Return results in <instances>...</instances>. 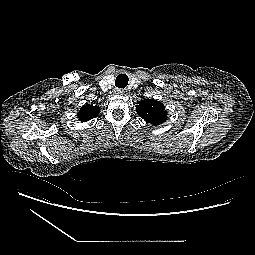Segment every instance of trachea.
I'll return each instance as SVG.
<instances>
[{"label":"trachea","instance_id":"1","mask_svg":"<svg viewBox=\"0 0 255 255\" xmlns=\"http://www.w3.org/2000/svg\"><path fill=\"white\" fill-rule=\"evenodd\" d=\"M128 84V76L126 74H120L117 76L115 86L118 88H125Z\"/></svg>","mask_w":255,"mask_h":255}]
</instances>
